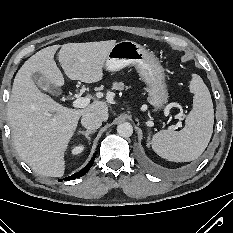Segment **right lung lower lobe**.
<instances>
[{"label":"right lung lower lobe","instance_id":"obj_1","mask_svg":"<svg viewBox=\"0 0 233 233\" xmlns=\"http://www.w3.org/2000/svg\"><path fill=\"white\" fill-rule=\"evenodd\" d=\"M95 156H96V154L93 155L90 162L81 171H79V172H77L69 177L64 178V180L65 181L72 180V179H76V178H79V177H82L83 175H85L90 170L91 166L93 165L94 160H95Z\"/></svg>","mask_w":233,"mask_h":233}]
</instances>
